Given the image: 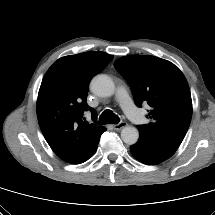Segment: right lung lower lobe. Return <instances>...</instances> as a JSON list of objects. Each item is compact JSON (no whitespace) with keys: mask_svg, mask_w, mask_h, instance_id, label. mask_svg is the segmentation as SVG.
<instances>
[{"mask_svg":"<svg viewBox=\"0 0 215 215\" xmlns=\"http://www.w3.org/2000/svg\"><path fill=\"white\" fill-rule=\"evenodd\" d=\"M96 149H97V147H96ZM96 149L94 150L93 154L95 153ZM93 154H92V155H93ZM92 155H91V156H92ZM91 156H90V157H91ZM90 157H89V158H90Z\"/></svg>","mask_w":215,"mask_h":215,"instance_id":"98d812e1","label":"right lung lower lobe"}]
</instances>
